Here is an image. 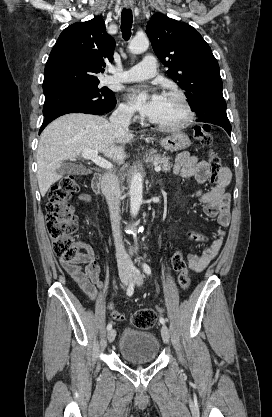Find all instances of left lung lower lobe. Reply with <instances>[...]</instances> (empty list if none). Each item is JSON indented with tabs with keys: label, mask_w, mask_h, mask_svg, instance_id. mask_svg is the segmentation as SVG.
Listing matches in <instances>:
<instances>
[{
	"label": "left lung lower lobe",
	"mask_w": 272,
	"mask_h": 417,
	"mask_svg": "<svg viewBox=\"0 0 272 417\" xmlns=\"http://www.w3.org/2000/svg\"><path fill=\"white\" fill-rule=\"evenodd\" d=\"M197 121L198 122H207V123H212V124H215V125H219V126L223 127L229 135L231 133V125L230 126H226V125H223V124H221L219 122H215V121H212V120L198 119Z\"/></svg>",
	"instance_id": "1"
}]
</instances>
